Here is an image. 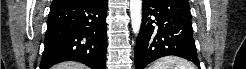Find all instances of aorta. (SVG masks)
<instances>
[{"mask_svg": "<svg viewBox=\"0 0 246 69\" xmlns=\"http://www.w3.org/2000/svg\"><path fill=\"white\" fill-rule=\"evenodd\" d=\"M142 1L130 0V16L133 32L137 35L140 31L142 19Z\"/></svg>", "mask_w": 246, "mask_h": 69, "instance_id": "762f6f07", "label": "aorta"}]
</instances>
